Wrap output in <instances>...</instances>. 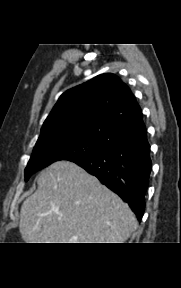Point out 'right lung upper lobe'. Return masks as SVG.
<instances>
[{"label":"right lung upper lobe","mask_w":181,"mask_h":288,"mask_svg":"<svg viewBox=\"0 0 181 288\" xmlns=\"http://www.w3.org/2000/svg\"><path fill=\"white\" fill-rule=\"evenodd\" d=\"M71 136L89 138L106 149L147 141L140 106L128 86L111 73L64 92L38 141Z\"/></svg>","instance_id":"cb5924a9"}]
</instances>
